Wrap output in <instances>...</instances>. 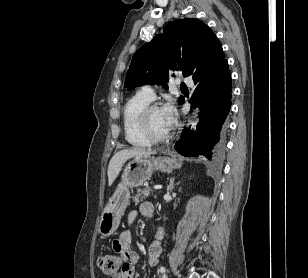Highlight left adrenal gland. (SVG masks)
<instances>
[{"instance_id": "obj_1", "label": "left adrenal gland", "mask_w": 308, "mask_h": 278, "mask_svg": "<svg viewBox=\"0 0 308 278\" xmlns=\"http://www.w3.org/2000/svg\"><path fill=\"white\" fill-rule=\"evenodd\" d=\"M174 179H175L174 177L171 178V179H170V183H169V185H168V189H167V190L170 191V192L174 189V186H175V184H174Z\"/></svg>"}]
</instances>
